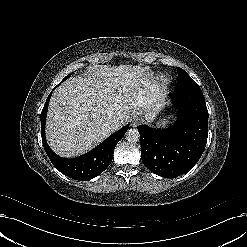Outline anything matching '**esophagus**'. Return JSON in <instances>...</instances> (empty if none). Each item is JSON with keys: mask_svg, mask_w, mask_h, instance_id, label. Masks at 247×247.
<instances>
[{"mask_svg": "<svg viewBox=\"0 0 247 247\" xmlns=\"http://www.w3.org/2000/svg\"><path fill=\"white\" fill-rule=\"evenodd\" d=\"M140 124V119L139 118H132L130 121V126L131 127H137Z\"/></svg>", "mask_w": 247, "mask_h": 247, "instance_id": "34e87169", "label": "esophagus"}]
</instances>
